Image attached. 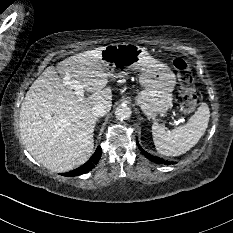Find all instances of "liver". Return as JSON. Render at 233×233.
<instances>
[{"mask_svg":"<svg viewBox=\"0 0 233 233\" xmlns=\"http://www.w3.org/2000/svg\"><path fill=\"white\" fill-rule=\"evenodd\" d=\"M105 47L70 56L47 67L34 81L21 104L19 127L27 151L45 168L66 172L85 163L93 153L97 118L92 107L109 103V74L101 61ZM68 76L93 92L79 97L62 77Z\"/></svg>","mask_w":233,"mask_h":233,"instance_id":"1","label":"liver"}]
</instances>
